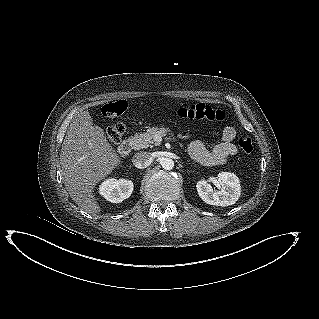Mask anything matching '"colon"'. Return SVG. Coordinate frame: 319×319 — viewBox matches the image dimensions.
Returning a JSON list of instances; mask_svg holds the SVG:
<instances>
[{
  "instance_id": "colon-1",
  "label": "colon",
  "mask_w": 319,
  "mask_h": 319,
  "mask_svg": "<svg viewBox=\"0 0 319 319\" xmlns=\"http://www.w3.org/2000/svg\"><path fill=\"white\" fill-rule=\"evenodd\" d=\"M127 110V102L118 100L112 103H107L102 107V113L105 117L116 119ZM176 116L182 119L194 121H216L222 122L226 119V113L223 110L217 109L209 104L195 103L187 106L179 107L175 111ZM125 131V126L122 122H115L110 125L107 130V138L113 145L117 144ZM238 146L245 154H251L254 150L253 142L249 137H239Z\"/></svg>"
}]
</instances>
